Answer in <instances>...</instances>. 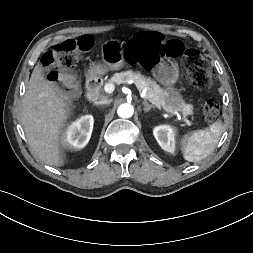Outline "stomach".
<instances>
[{"label": "stomach", "instance_id": "obj_1", "mask_svg": "<svg viewBox=\"0 0 253 253\" xmlns=\"http://www.w3.org/2000/svg\"><path fill=\"white\" fill-rule=\"evenodd\" d=\"M123 44L116 39L105 41L101 46L102 61L97 62L90 69L91 76H102L108 71H118L124 67ZM154 78L169 87L166 96L167 111L182 112L186 103L182 95L171 88L179 77L178 65L170 61H162L153 70Z\"/></svg>", "mask_w": 253, "mask_h": 253}]
</instances>
